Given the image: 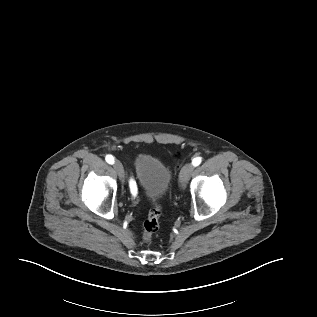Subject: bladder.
<instances>
[{
    "instance_id": "31cf9c89",
    "label": "bladder",
    "mask_w": 317,
    "mask_h": 317,
    "mask_svg": "<svg viewBox=\"0 0 317 317\" xmlns=\"http://www.w3.org/2000/svg\"><path fill=\"white\" fill-rule=\"evenodd\" d=\"M134 167L137 181L148 198L157 200L167 193L172 174L159 159L149 154H139Z\"/></svg>"
}]
</instances>
